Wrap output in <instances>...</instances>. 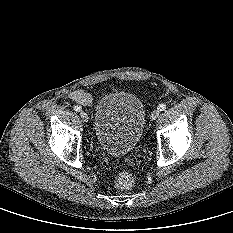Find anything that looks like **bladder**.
Segmentation results:
<instances>
[{"label": "bladder", "instance_id": "obj_1", "mask_svg": "<svg viewBox=\"0 0 233 233\" xmlns=\"http://www.w3.org/2000/svg\"><path fill=\"white\" fill-rule=\"evenodd\" d=\"M146 112L134 94L116 91L105 94L96 104L94 132L101 148L112 156H124L138 144Z\"/></svg>", "mask_w": 233, "mask_h": 233}]
</instances>
